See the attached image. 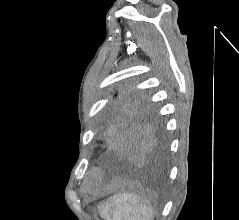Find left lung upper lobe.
<instances>
[{
	"label": "left lung upper lobe",
	"mask_w": 239,
	"mask_h": 220,
	"mask_svg": "<svg viewBox=\"0 0 239 220\" xmlns=\"http://www.w3.org/2000/svg\"><path fill=\"white\" fill-rule=\"evenodd\" d=\"M123 107L130 109L131 111H151V106L148 104L147 99H145L143 94H129L118 96L116 102L109 105L110 108Z\"/></svg>",
	"instance_id": "obj_1"
}]
</instances>
